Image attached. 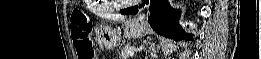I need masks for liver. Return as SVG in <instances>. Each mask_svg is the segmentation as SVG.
Masks as SVG:
<instances>
[{
  "label": "liver",
  "instance_id": "6515ba94",
  "mask_svg": "<svg viewBox=\"0 0 261 59\" xmlns=\"http://www.w3.org/2000/svg\"><path fill=\"white\" fill-rule=\"evenodd\" d=\"M100 17L111 20L113 22L125 21L126 17L119 14H99Z\"/></svg>",
  "mask_w": 261,
  "mask_h": 59
}]
</instances>
